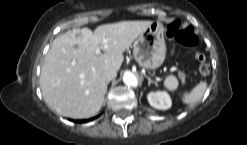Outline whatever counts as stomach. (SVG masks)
<instances>
[{
	"label": "stomach",
	"mask_w": 247,
	"mask_h": 145,
	"mask_svg": "<svg viewBox=\"0 0 247 145\" xmlns=\"http://www.w3.org/2000/svg\"><path fill=\"white\" fill-rule=\"evenodd\" d=\"M133 55L136 62L146 69H156L163 64L166 45L161 23L154 21L139 35L133 44Z\"/></svg>",
	"instance_id": "1"
}]
</instances>
